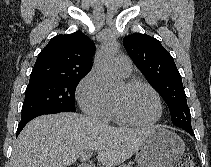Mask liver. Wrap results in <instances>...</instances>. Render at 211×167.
Masks as SVG:
<instances>
[{
	"label": "liver",
	"mask_w": 211,
	"mask_h": 167,
	"mask_svg": "<svg viewBox=\"0 0 211 167\" xmlns=\"http://www.w3.org/2000/svg\"><path fill=\"white\" fill-rule=\"evenodd\" d=\"M154 128L111 127L77 113L43 115L18 136L10 167H67L91 150L99 166L113 167L137 152Z\"/></svg>",
	"instance_id": "1"
}]
</instances>
